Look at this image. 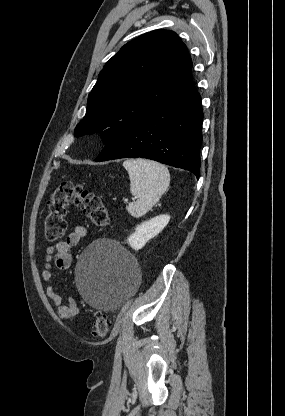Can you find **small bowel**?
Wrapping results in <instances>:
<instances>
[{
  "label": "small bowel",
  "instance_id": "1",
  "mask_svg": "<svg viewBox=\"0 0 285 416\" xmlns=\"http://www.w3.org/2000/svg\"><path fill=\"white\" fill-rule=\"evenodd\" d=\"M87 235V229L83 226L75 227L64 240L59 241L46 249V264L41 273L42 280L48 283L47 297L57 306V315L62 321L74 319L79 314V307L72 297L65 298L53 284L52 269H68L72 263V250Z\"/></svg>",
  "mask_w": 285,
  "mask_h": 416
}]
</instances>
